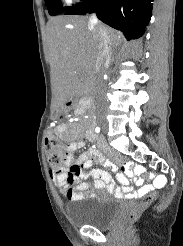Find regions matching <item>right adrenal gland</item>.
Wrapping results in <instances>:
<instances>
[{
	"instance_id": "2a0ac1e0",
	"label": "right adrenal gland",
	"mask_w": 183,
	"mask_h": 246,
	"mask_svg": "<svg viewBox=\"0 0 183 246\" xmlns=\"http://www.w3.org/2000/svg\"><path fill=\"white\" fill-rule=\"evenodd\" d=\"M114 54V50L112 51V55Z\"/></svg>"
}]
</instances>
